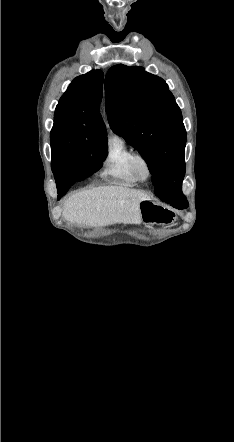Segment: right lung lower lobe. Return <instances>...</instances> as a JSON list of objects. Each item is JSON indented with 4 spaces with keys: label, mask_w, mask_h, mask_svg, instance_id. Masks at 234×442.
<instances>
[{
    "label": "right lung lower lobe",
    "mask_w": 234,
    "mask_h": 442,
    "mask_svg": "<svg viewBox=\"0 0 234 442\" xmlns=\"http://www.w3.org/2000/svg\"><path fill=\"white\" fill-rule=\"evenodd\" d=\"M67 173H68V171H63V172H60V173H58L57 175H55V177H56V176H59V175L63 176V175H65V174H67ZM56 184H57L58 200H59L62 196L65 195V193L68 191V189H69L71 186L68 185V184H66V183H57V182H56Z\"/></svg>",
    "instance_id": "98d812e1"
}]
</instances>
